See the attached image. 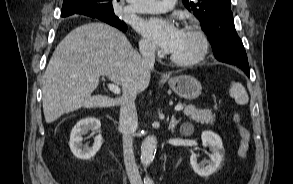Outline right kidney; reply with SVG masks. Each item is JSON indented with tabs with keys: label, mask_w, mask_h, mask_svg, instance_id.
I'll list each match as a JSON object with an SVG mask.
<instances>
[{
	"label": "right kidney",
	"mask_w": 293,
	"mask_h": 184,
	"mask_svg": "<svg viewBox=\"0 0 293 184\" xmlns=\"http://www.w3.org/2000/svg\"><path fill=\"white\" fill-rule=\"evenodd\" d=\"M101 123L98 119L89 117L79 121L71 131L69 146L73 155L80 160L92 159L102 145V135L98 134L94 139L92 148L83 147V135L89 130L95 132L99 130Z\"/></svg>",
	"instance_id": "right-kidney-1"
}]
</instances>
